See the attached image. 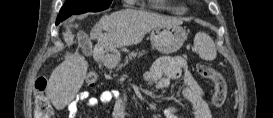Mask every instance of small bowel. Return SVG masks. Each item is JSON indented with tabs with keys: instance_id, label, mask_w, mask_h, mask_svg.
<instances>
[{
	"instance_id": "c3829d8e",
	"label": "small bowel",
	"mask_w": 273,
	"mask_h": 118,
	"mask_svg": "<svg viewBox=\"0 0 273 118\" xmlns=\"http://www.w3.org/2000/svg\"><path fill=\"white\" fill-rule=\"evenodd\" d=\"M144 79L148 85L157 89H163L170 82L182 79L181 94L191 104L194 117L211 118V102L206 98L203 89L193 77L184 58L179 56L158 58L146 73ZM79 101H85L89 108H97L102 104L115 101L114 117L124 118L125 116L126 98L117 91L104 90L98 95H91L86 91L80 93L67 106L70 118L76 117L77 103ZM163 116L164 118H178V109L170 107L164 111Z\"/></svg>"
}]
</instances>
